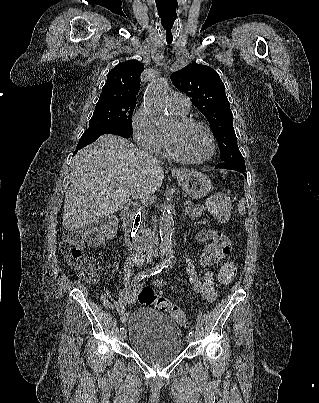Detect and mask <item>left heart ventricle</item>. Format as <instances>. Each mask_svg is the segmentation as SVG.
Returning <instances> with one entry per match:
<instances>
[{"label":"left heart ventricle","mask_w":319,"mask_h":403,"mask_svg":"<svg viewBox=\"0 0 319 403\" xmlns=\"http://www.w3.org/2000/svg\"><path fill=\"white\" fill-rule=\"evenodd\" d=\"M172 136L181 153L187 158L200 160L210 152V139L206 131L199 126L180 129L175 122L167 132Z\"/></svg>","instance_id":"1"}]
</instances>
